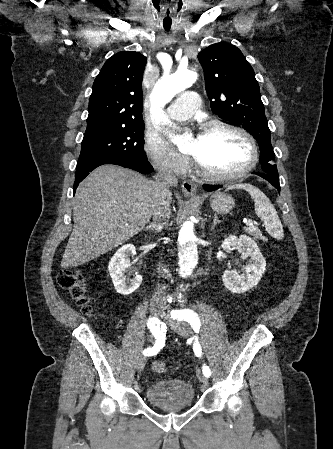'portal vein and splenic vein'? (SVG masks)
Returning a JSON list of instances; mask_svg holds the SVG:
<instances>
[{"label": "portal vein and splenic vein", "mask_w": 333, "mask_h": 449, "mask_svg": "<svg viewBox=\"0 0 333 449\" xmlns=\"http://www.w3.org/2000/svg\"><path fill=\"white\" fill-rule=\"evenodd\" d=\"M246 225H247V226H252V225H253V222H252L251 220H247V221H246Z\"/></svg>", "instance_id": "1"}]
</instances>
